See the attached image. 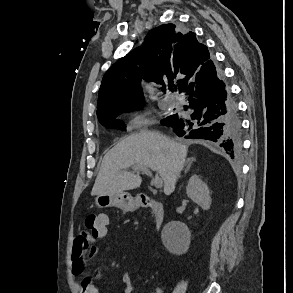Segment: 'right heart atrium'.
<instances>
[{
    "label": "right heart atrium",
    "mask_w": 293,
    "mask_h": 293,
    "mask_svg": "<svg viewBox=\"0 0 293 293\" xmlns=\"http://www.w3.org/2000/svg\"><path fill=\"white\" fill-rule=\"evenodd\" d=\"M150 124V119L145 114H139L132 118L130 125L135 129L146 128Z\"/></svg>",
    "instance_id": "obj_1"
}]
</instances>
